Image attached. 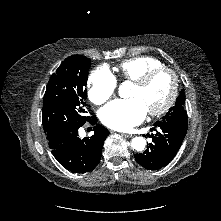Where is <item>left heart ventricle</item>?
<instances>
[{
    "label": "left heart ventricle",
    "instance_id": "obj_1",
    "mask_svg": "<svg viewBox=\"0 0 221 221\" xmlns=\"http://www.w3.org/2000/svg\"><path fill=\"white\" fill-rule=\"evenodd\" d=\"M171 87V76L168 73H160L144 87L133 85L130 97L139 98L149 111L161 107L166 102Z\"/></svg>",
    "mask_w": 221,
    "mask_h": 221
}]
</instances>
